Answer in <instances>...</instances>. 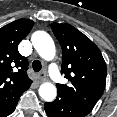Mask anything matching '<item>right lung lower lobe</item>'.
Segmentation results:
<instances>
[{"instance_id":"1","label":"right lung lower lobe","mask_w":117,"mask_h":117,"mask_svg":"<svg viewBox=\"0 0 117 117\" xmlns=\"http://www.w3.org/2000/svg\"><path fill=\"white\" fill-rule=\"evenodd\" d=\"M17 105V104H16ZM16 105L10 110V112L9 113H7L6 115H5V117L6 116H8V115H10L11 113H13V111L15 110V108H16Z\"/></svg>"}]
</instances>
